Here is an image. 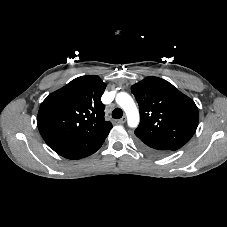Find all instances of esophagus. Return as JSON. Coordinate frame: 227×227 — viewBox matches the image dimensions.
I'll return each instance as SVG.
<instances>
[{"instance_id":"34e87169","label":"esophagus","mask_w":227,"mask_h":227,"mask_svg":"<svg viewBox=\"0 0 227 227\" xmlns=\"http://www.w3.org/2000/svg\"><path fill=\"white\" fill-rule=\"evenodd\" d=\"M125 122H126V117L125 116L118 120L119 124H124Z\"/></svg>"}]
</instances>
